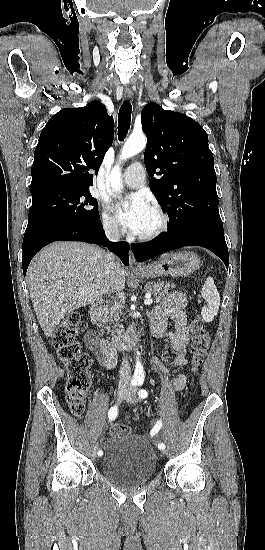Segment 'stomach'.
<instances>
[{"label": "stomach", "instance_id": "obj_1", "mask_svg": "<svg viewBox=\"0 0 265 550\" xmlns=\"http://www.w3.org/2000/svg\"><path fill=\"white\" fill-rule=\"evenodd\" d=\"M200 266L197 254L190 251L167 253L156 261L136 272L142 278L184 277L192 274Z\"/></svg>", "mask_w": 265, "mask_h": 550}]
</instances>
